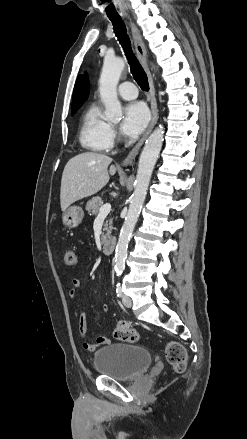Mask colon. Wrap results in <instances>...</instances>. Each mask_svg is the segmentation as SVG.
<instances>
[{
  "mask_svg": "<svg viewBox=\"0 0 247 439\" xmlns=\"http://www.w3.org/2000/svg\"><path fill=\"white\" fill-rule=\"evenodd\" d=\"M64 262L67 266H75L77 264V255L75 251L68 249L64 253ZM114 336L118 340L126 342H137L139 334L127 322L120 321L117 323ZM165 356L167 362L175 372L181 373L186 369L187 352L185 347L176 341H170L165 347Z\"/></svg>",
  "mask_w": 247,
  "mask_h": 439,
  "instance_id": "5ec220e1",
  "label": "colon"
}]
</instances>
